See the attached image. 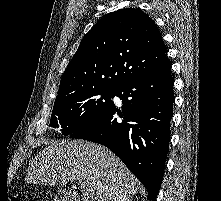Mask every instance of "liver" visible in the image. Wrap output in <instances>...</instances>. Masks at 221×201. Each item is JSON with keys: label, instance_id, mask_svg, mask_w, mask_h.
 Listing matches in <instances>:
<instances>
[{"label": "liver", "instance_id": "1", "mask_svg": "<svg viewBox=\"0 0 221 201\" xmlns=\"http://www.w3.org/2000/svg\"><path fill=\"white\" fill-rule=\"evenodd\" d=\"M30 162L26 181L44 185L81 182L82 201H116L134 196L139 181L123 162L104 146L83 141H46Z\"/></svg>", "mask_w": 221, "mask_h": 201}]
</instances>
